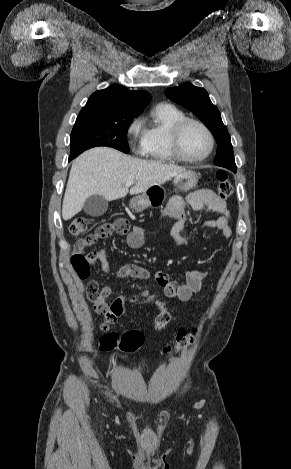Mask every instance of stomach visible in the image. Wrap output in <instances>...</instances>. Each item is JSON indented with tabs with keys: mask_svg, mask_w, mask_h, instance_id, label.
<instances>
[{
	"mask_svg": "<svg viewBox=\"0 0 291 469\" xmlns=\"http://www.w3.org/2000/svg\"><path fill=\"white\" fill-rule=\"evenodd\" d=\"M197 182L198 176L191 170H185L173 179L175 191H189L196 186ZM166 197L165 188L161 185H154L142 194L133 197L130 200V207L137 212H141L148 207L156 208L164 203Z\"/></svg>",
	"mask_w": 291,
	"mask_h": 469,
	"instance_id": "obj_1",
	"label": "stomach"
}]
</instances>
